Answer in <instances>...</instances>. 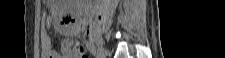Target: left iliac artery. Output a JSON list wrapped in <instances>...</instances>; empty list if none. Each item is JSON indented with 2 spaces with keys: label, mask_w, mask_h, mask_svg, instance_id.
<instances>
[{
  "label": "left iliac artery",
  "mask_w": 225,
  "mask_h": 58,
  "mask_svg": "<svg viewBox=\"0 0 225 58\" xmlns=\"http://www.w3.org/2000/svg\"><path fill=\"white\" fill-rule=\"evenodd\" d=\"M86 45H87L89 50L94 51V46L91 43L86 42Z\"/></svg>",
  "instance_id": "obj_1"
}]
</instances>
